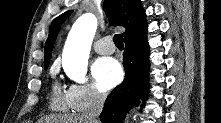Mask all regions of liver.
<instances>
[{"label":"liver","mask_w":221,"mask_h":123,"mask_svg":"<svg viewBox=\"0 0 221 123\" xmlns=\"http://www.w3.org/2000/svg\"><path fill=\"white\" fill-rule=\"evenodd\" d=\"M48 122H55V123H91L90 120L87 118L85 114L82 115H74V116H64L55 118L54 120H49Z\"/></svg>","instance_id":"obj_1"}]
</instances>
